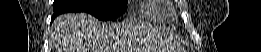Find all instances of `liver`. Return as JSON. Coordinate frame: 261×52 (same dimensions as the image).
<instances>
[{
	"label": "liver",
	"mask_w": 261,
	"mask_h": 52,
	"mask_svg": "<svg viewBox=\"0 0 261 52\" xmlns=\"http://www.w3.org/2000/svg\"><path fill=\"white\" fill-rule=\"evenodd\" d=\"M126 34L124 25H107L87 13H67L55 19L52 40L60 46L58 52H119Z\"/></svg>",
	"instance_id": "obj_1"
}]
</instances>
